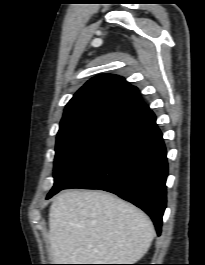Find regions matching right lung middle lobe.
I'll return each instance as SVG.
<instances>
[{
	"label": "right lung middle lobe",
	"mask_w": 205,
	"mask_h": 265,
	"mask_svg": "<svg viewBox=\"0 0 205 265\" xmlns=\"http://www.w3.org/2000/svg\"><path fill=\"white\" fill-rule=\"evenodd\" d=\"M119 124H95L57 135L54 186L48 195L68 185L125 128Z\"/></svg>",
	"instance_id": "dd1d6c3e"
}]
</instances>
